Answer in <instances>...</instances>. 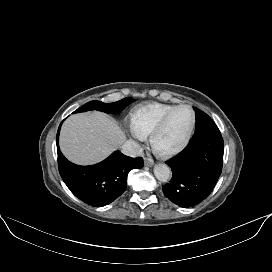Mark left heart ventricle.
Here are the masks:
<instances>
[{"label": "left heart ventricle", "mask_w": 272, "mask_h": 272, "mask_svg": "<svg viewBox=\"0 0 272 272\" xmlns=\"http://www.w3.org/2000/svg\"><path fill=\"white\" fill-rule=\"evenodd\" d=\"M191 124V114L186 109L177 110L168 120L163 132L158 138L162 148L176 146L186 135Z\"/></svg>", "instance_id": "obj_1"}]
</instances>
